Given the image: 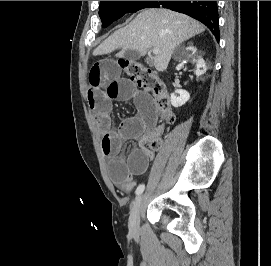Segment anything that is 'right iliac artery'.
Segmentation results:
<instances>
[{"mask_svg": "<svg viewBox=\"0 0 271 266\" xmlns=\"http://www.w3.org/2000/svg\"><path fill=\"white\" fill-rule=\"evenodd\" d=\"M144 184H140L136 189V195H140L144 191Z\"/></svg>", "mask_w": 271, "mask_h": 266, "instance_id": "82829eb1", "label": "right iliac artery"}]
</instances>
